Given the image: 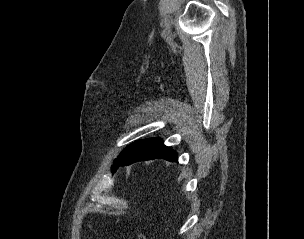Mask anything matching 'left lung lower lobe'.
<instances>
[{
  "label": "left lung lower lobe",
  "instance_id": "obj_1",
  "mask_svg": "<svg viewBox=\"0 0 304 239\" xmlns=\"http://www.w3.org/2000/svg\"><path fill=\"white\" fill-rule=\"evenodd\" d=\"M177 160V153L165 146L160 138L144 139L136 144L118 163L117 167L150 159ZM117 169V168H116ZM115 169V171H116Z\"/></svg>",
  "mask_w": 304,
  "mask_h": 239
}]
</instances>
